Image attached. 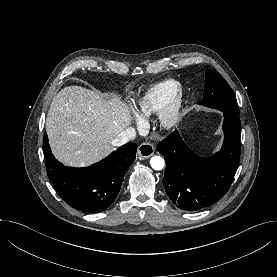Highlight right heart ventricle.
Returning a JSON list of instances; mask_svg holds the SVG:
<instances>
[{
	"instance_id": "e07e8e85",
	"label": "right heart ventricle",
	"mask_w": 277,
	"mask_h": 277,
	"mask_svg": "<svg viewBox=\"0 0 277 277\" xmlns=\"http://www.w3.org/2000/svg\"><path fill=\"white\" fill-rule=\"evenodd\" d=\"M175 86L174 80H165L153 85L136 101V113L142 118L156 113Z\"/></svg>"
}]
</instances>
